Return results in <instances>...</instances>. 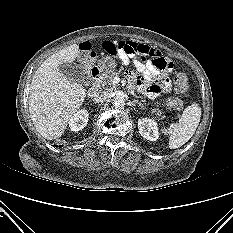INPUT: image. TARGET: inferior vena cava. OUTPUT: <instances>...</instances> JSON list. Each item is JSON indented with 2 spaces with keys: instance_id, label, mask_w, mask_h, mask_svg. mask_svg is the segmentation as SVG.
<instances>
[{
  "instance_id": "inferior-vena-cava-1",
  "label": "inferior vena cava",
  "mask_w": 233,
  "mask_h": 233,
  "mask_svg": "<svg viewBox=\"0 0 233 233\" xmlns=\"http://www.w3.org/2000/svg\"><path fill=\"white\" fill-rule=\"evenodd\" d=\"M109 98V94L104 92V93H97L94 97V101L96 103H103Z\"/></svg>"
}]
</instances>
